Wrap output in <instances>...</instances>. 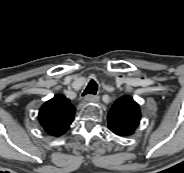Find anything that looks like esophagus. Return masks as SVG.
Listing matches in <instances>:
<instances>
[{
  "label": "esophagus",
  "instance_id": "esophagus-1",
  "mask_svg": "<svg viewBox=\"0 0 184 173\" xmlns=\"http://www.w3.org/2000/svg\"><path fill=\"white\" fill-rule=\"evenodd\" d=\"M83 100L86 102H97L99 101V96L89 94V95H86Z\"/></svg>",
  "mask_w": 184,
  "mask_h": 173
}]
</instances>
